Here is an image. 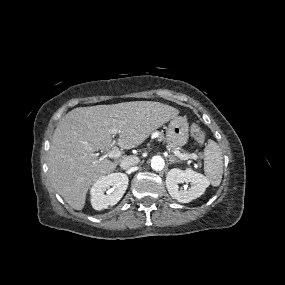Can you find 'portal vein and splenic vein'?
<instances>
[{"instance_id": "1", "label": "portal vein and splenic vein", "mask_w": 285, "mask_h": 285, "mask_svg": "<svg viewBox=\"0 0 285 285\" xmlns=\"http://www.w3.org/2000/svg\"><path fill=\"white\" fill-rule=\"evenodd\" d=\"M110 132H111V134L113 135V136H116L117 134H119V130L117 129V128H112L111 130H110ZM115 144V141H113V143H112V145H113V147H112V149L111 150H109V151H107V152H105L101 157L102 158H106V157H109V158H119V157H121L122 156V153H121V151L119 150V148L117 147V146H115L114 145ZM174 154H175V156H177L178 158H180L181 160H187V159H194V160H196L197 159V155L196 154H190V155H188V154H182L181 152H179L178 150H175L174 151Z\"/></svg>"}]
</instances>
